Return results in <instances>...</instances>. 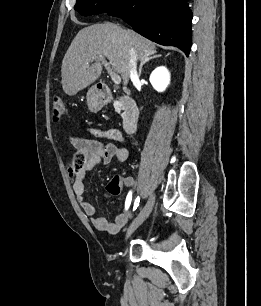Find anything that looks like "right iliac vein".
I'll return each instance as SVG.
<instances>
[{
    "instance_id": "obj_1",
    "label": "right iliac vein",
    "mask_w": 261,
    "mask_h": 306,
    "mask_svg": "<svg viewBox=\"0 0 261 306\" xmlns=\"http://www.w3.org/2000/svg\"><path fill=\"white\" fill-rule=\"evenodd\" d=\"M155 202V196L151 195L149 200L147 201L144 208L140 211V213L136 216L134 221L131 223L130 227L128 228L126 234V240L132 235V233L147 219L149 214L151 213Z\"/></svg>"
}]
</instances>
